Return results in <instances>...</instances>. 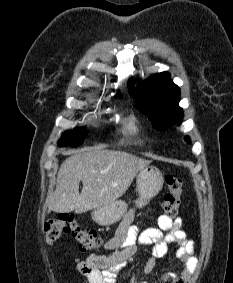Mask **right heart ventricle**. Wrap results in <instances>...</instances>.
I'll use <instances>...</instances> for the list:
<instances>
[{
    "label": "right heart ventricle",
    "instance_id": "e07e8e85",
    "mask_svg": "<svg viewBox=\"0 0 233 283\" xmlns=\"http://www.w3.org/2000/svg\"><path fill=\"white\" fill-rule=\"evenodd\" d=\"M124 133L127 136H130L132 138H138L139 136V128L137 127V125L135 124L134 121H130L126 127L124 128Z\"/></svg>",
    "mask_w": 233,
    "mask_h": 283
}]
</instances>
